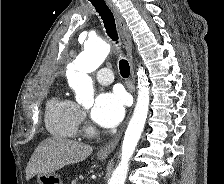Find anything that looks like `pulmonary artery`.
<instances>
[{"label":"pulmonary artery","instance_id":"pulmonary-artery-1","mask_svg":"<svg viewBox=\"0 0 224 184\" xmlns=\"http://www.w3.org/2000/svg\"><path fill=\"white\" fill-rule=\"evenodd\" d=\"M97 81L100 84H110L114 81V75L112 71L108 68L100 69L95 75Z\"/></svg>","mask_w":224,"mask_h":184}]
</instances>
